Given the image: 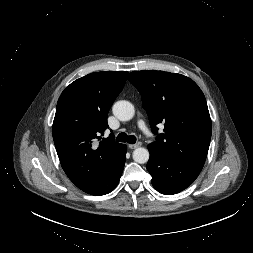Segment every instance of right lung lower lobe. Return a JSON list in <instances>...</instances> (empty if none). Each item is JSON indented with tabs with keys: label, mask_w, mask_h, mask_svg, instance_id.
<instances>
[{
	"label": "right lung lower lobe",
	"mask_w": 253,
	"mask_h": 253,
	"mask_svg": "<svg viewBox=\"0 0 253 253\" xmlns=\"http://www.w3.org/2000/svg\"><path fill=\"white\" fill-rule=\"evenodd\" d=\"M126 159V146L117 155L104 177L92 188L85 191L91 195H104L111 192L118 184Z\"/></svg>",
	"instance_id": "98d812e1"
}]
</instances>
